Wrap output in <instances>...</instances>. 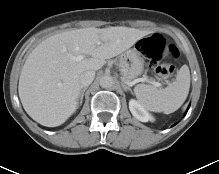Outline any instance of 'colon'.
Returning a JSON list of instances; mask_svg holds the SVG:
<instances>
[{"label":"colon","mask_w":219,"mask_h":174,"mask_svg":"<svg viewBox=\"0 0 219 174\" xmlns=\"http://www.w3.org/2000/svg\"><path fill=\"white\" fill-rule=\"evenodd\" d=\"M137 47L148 59L153 71L163 79H169L174 72L172 60L178 56V50L169 44L160 34H153L141 39Z\"/></svg>","instance_id":"colon-1"}]
</instances>
